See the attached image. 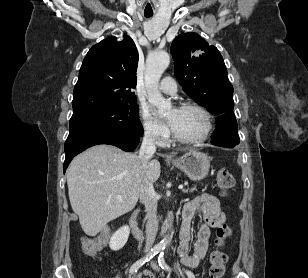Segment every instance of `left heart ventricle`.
Listing matches in <instances>:
<instances>
[{
	"label": "left heart ventricle",
	"instance_id": "obj_1",
	"mask_svg": "<svg viewBox=\"0 0 308 278\" xmlns=\"http://www.w3.org/2000/svg\"><path fill=\"white\" fill-rule=\"evenodd\" d=\"M174 115V110L170 111L168 118ZM206 127L204 116L194 109H178L175 117L173 130L187 138H196L203 134Z\"/></svg>",
	"mask_w": 308,
	"mask_h": 278
}]
</instances>
